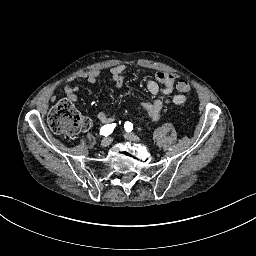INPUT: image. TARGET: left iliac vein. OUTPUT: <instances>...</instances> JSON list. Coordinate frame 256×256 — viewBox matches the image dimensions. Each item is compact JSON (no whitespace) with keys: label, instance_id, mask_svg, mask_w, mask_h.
I'll return each mask as SVG.
<instances>
[{"label":"left iliac vein","instance_id":"left-iliac-vein-1","mask_svg":"<svg viewBox=\"0 0 256 256\" xmlns=\"http://www.w3.org/2000/svg\"><path fill=\"white\" fill-rule=\"evenodd\" d=\"M123 136L125 139L130 140V141H136V142L140 141L139 137L133 133L125 132Z\"/></svg>","mask_w":256,"mask_h":256}]
</instances>
